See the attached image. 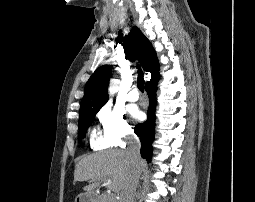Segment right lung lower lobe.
<instances>
[{"mask_svg":"<svg viewBox=\"0 0 255 202\" xmlns=\"http://www.w3.org/2000/svg\"><path fill=\"white\" fill-rule=\"evenodd\" d=\"M157 82L145 86L150 104L148 107V119L145 123H140L134 128V132L139 136L141 141V156L148 162L152 157V142L154 140V125H155V108H156V91Z\"/></svg>","mask_w":255,"mask_h":202,"instance_id":"obj_1","label":"right lung lower lobe"}]
</instances>
